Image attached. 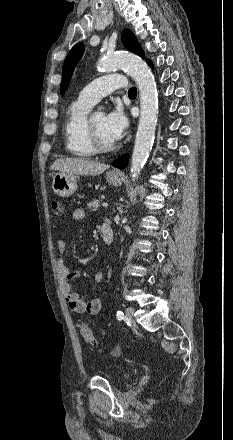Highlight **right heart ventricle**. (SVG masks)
<instances>
[{
  "instance_id": "1",
  "label": "right heart ventricle",
  "mask_w": 233,
  "mask_h": 440,
  "mask_svg": "<svg viewBox=\"0 0 233 440\" xmlns=\"http://www.w3.org/2000/svg\"><path fill=\"white\" fill-rule=\"evenodd\" d=\"M91 106V104L77 99L68 107L64 135L66 150L72 156L88 158L96 153L86 131V121Z\"/></svg>"
}]
</instances>
